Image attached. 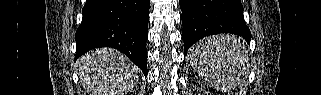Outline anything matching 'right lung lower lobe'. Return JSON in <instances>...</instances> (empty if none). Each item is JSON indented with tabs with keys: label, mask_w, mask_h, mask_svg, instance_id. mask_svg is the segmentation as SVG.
<instances>
[{
	"label": "right lung lower lobe",
	"mask_w": 321,
	"mask_h": 95,
	"mask_svg": "<svg viewBox=\"0 0 321 95\" xmlns=\"http://www.w3.org/2000/svg\"><path fill=\"white\" fill-rule=\"evenodd\" d=\"M150 0H87L77 29L76 57L99 47L123 52L147 76Z\"/></svg>",
	"instance_id": "98d812e1"
}]
</instances>
